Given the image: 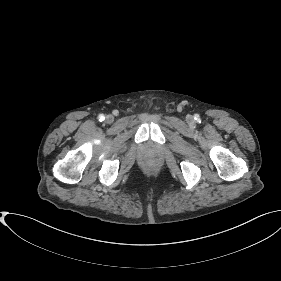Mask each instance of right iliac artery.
I'll return each mask as SVG.
<instances>
[{"instance_id":"1","label":"right iliac artery","mask_w":281,"mask_h":281,"mask_svg":"<svg viewBox=\"0 0 281 281\" xmlns=\"http://www.w3.org/2000/svg\"><path fill=\"white\" fill-rule=\"evenodd\" d=\"M105 119L104 115H99V121H103Z\"/></svg>"}]
</instances>
